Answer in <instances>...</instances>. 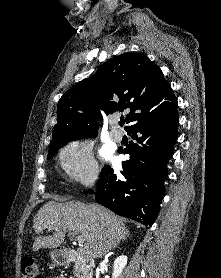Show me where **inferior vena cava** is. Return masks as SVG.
Returning <instances> with one entry per match:
<instances>
[{
	"instance_id": "602c4592",
	"label": "inferior vena cava",
	"mask_w": 221,
	"mask_h": 278,
	"mask_svg": "<svg viewBox=\"0 0 221 278\" xmlns=\"http://www.w3.org/2000/svg\"><path fill=\"white\" fill-rule=\"evenodd\" d=\"M97 177H98V174L97 173H94L93 176L91 177L90 181H89V187H92L96 180H97Z\"/></svg>"
}]
</instances>
